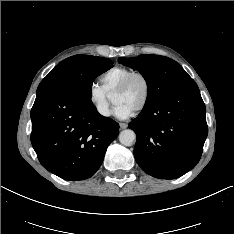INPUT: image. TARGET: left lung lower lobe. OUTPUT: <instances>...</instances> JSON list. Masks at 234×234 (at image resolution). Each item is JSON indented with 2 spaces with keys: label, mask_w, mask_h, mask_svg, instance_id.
I'll return each instance as SVG.
<instances>
[{
  "label": "left lung lower lobe",
  "mask_w": 234,
  "mask_h": 234,
  "mask_svg": "<svg viewBox=\"0 0 234 234\" xmlns=\"http://www.w3.org/2000/svg\"><path fill=\"white\" fill-rule=\"evenodd\" d=\"M206 108L197 84H188L129 123L137 135L134 157L149 175L178 178L200 160L207 137Z\"/></svg>",
  "instance_id": "0a47b994"
}]
</instances>
